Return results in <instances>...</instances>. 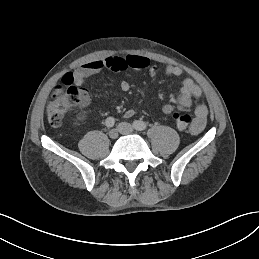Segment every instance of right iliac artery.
I'll return each instance as SVG.
<instances>
[{
  "instance_id": "1",
  "label": "right iliac artery",
  "mask_w": 259,
  "mask_h": 259,
  "mask_svg": "<svg viewBox=\"0 0 259 259\" xmlns=\"http://www.w3.org/2000/svg\"><path fill=\"white\" fill-rule=\"evenodd\" d=\"M107 127H113L115 124V119L113 117H108L105 121Z\"/></svg>"
}]
</instances>
